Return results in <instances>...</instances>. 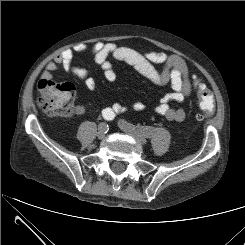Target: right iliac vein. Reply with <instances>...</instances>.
I'll return each mask as SVG.
<instances>
[{"mask_svg": "<svg viewBox=\"0 0 245 245\" xmlns=\"http://www.w3.org/2000/svg\"><path fill=\"white\" fill-rule=\"evenodd\" d=\"M97 137L103 139L105 137V131L102 129V126H99Z\"/></svg>", "mask_w": 245, "mask_h": 245, "instance_id": "obj_1", "label": "right iliac vein"}]
</instances>
